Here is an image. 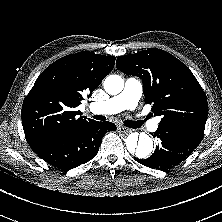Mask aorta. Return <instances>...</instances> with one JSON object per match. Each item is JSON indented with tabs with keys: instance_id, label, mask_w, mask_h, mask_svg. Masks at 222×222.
Wrapping results in <instances>:
<instances>
[{
	"instance_id": "obj_1",
	"label": "aorta",
	"mask_w": 222,
	"mask_h": 222,
	"mask_svg": "<svg viewBox=\"0 0 222 222\" xmlns=\"http://www.w3.org/2000/svg\"><path fill=\"white\" fill-rule=\"evenodd\" d=\"M124 80L118 75H109L104 80V89L110 95L119 94ZM128 152L139 159L147 158L153 150V141L146 133H131L125 141Z\"/></svg>"
}]
</instances>
